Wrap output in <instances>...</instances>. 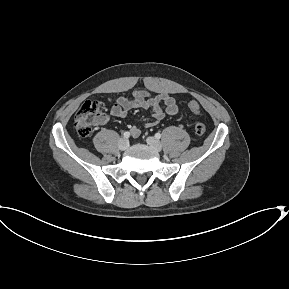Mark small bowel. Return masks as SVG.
<instances>
[{
    "label": "small bowel",
    "mask_w": 289,
    "mask_h": 289,
    "mask_svg": "<svg viewBox=\"0 0 289 289\" xmlns=\"http://www.w3.org/2000/svg\"><path fill=\"white\" fill-rule=\"evenodd\" d=\"M112 103L110 115L115 117H126L132 110L145 108L151 109L153 120L145 124L146 127H153L159 123L166 115L172 116L178 112L175 99L168 94L151 96L146 90H136L131 98L118 97L115 100L109 99ZM109 115H102L98 120L99 124H104L109 120ZM132 136L137 137L141 134V129L132 126L130 129Z\"/></svg>",
    "instance_id": "c3829d8e"
}]
</instances>
